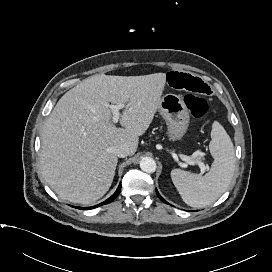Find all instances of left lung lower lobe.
Here are the masks:
<instances>
[{
	"mask_svg": "<svg viewBox=\"0 0 272 272\" xmlns=\"http://www.w3.org/2000/svg\"><path fill=\"white\" fill-rule=\"evenodd\" d=\"M156 192H157V190H156ZM157 195H158V197H159L163 202L167 203V202L159 195L158 192H157Z\"/></svg>",
	"mask_w": 272,
	"mask_h": 272,
	"instance_id": "obj_1",
	"label": "left lung lower lobe"
}]
</instances>
